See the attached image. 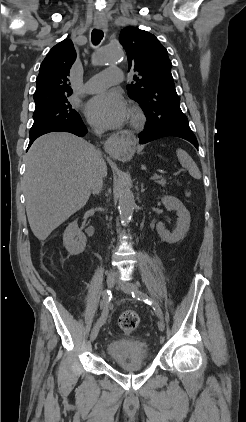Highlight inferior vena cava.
Segmentation results:
<instances>
[{
    "instance_id": "inferior-vena-cava-1",
    "label": "inferior vena cava",
    "mask_w": 246,
    "mask_h": 422,
    "mask_svg": "<svg viewBox=\"0 0 246 422\" xmlns=\"http://www.w3.org/2000/svg\"><path fill=\"white\" fill-rule=\"evenodd\" d=\"M101 130H96V134L100 135ZM92 155L95 159L94 168L92 172L91 191L93 194H99L103 185V178L106 176L102 168L101 153L98 149L94 148Z\"/></svg>"
}]
</instances>
